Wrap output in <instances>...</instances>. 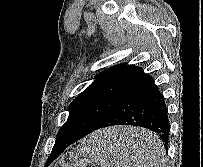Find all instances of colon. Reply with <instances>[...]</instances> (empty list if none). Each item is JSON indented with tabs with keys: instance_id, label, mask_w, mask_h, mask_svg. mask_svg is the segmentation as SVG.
I'll return each mask as SVG.
<instances>
[{
	"instance_id": "1",
	"label": "colon",
	"mask_w": 203,
	"mask_h": 167,
	"mask_svg": "<svg viewBox=\"0 0 203 167\" xmlns=\"http://www.w3.org/2000/svg\"><path fill=\"white\" fill-rule=\"evenodd\" d=\"M56 167H96L94 164L89 161L79 157L73 152L67 153L62 159L58 162Z\"/></svg>"
}]
</instances>
